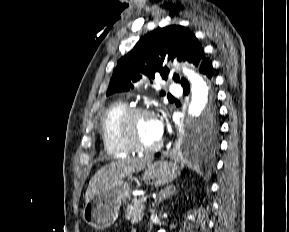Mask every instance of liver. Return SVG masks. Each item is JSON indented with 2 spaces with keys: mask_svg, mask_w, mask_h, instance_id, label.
Returning a JSON list of instances; mask_svg holds the SVG:
<instances>
[{
  "mask_svg": "<svg viewBox=\"0 0 289 232\" xmlns=\"http://www.w3.org/2000/svg\"><path fill=\"white\" fill-rule=\"evenodd\" d=\"M148 163H150V160L147 159H129L113 162L110 165L101 168L89 181L85 193V203L94 195L114 186L119 180L139 172Z\"/></svg>",
  "mask_w": 289,
  "mask_h": 232,
  "instance_id": "obj_1",
  "label": "liver"
}]
</instances>
